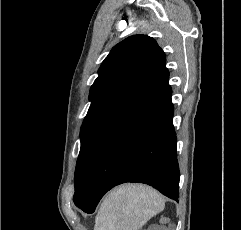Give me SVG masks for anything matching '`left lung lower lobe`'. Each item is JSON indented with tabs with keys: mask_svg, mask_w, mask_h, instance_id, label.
Masks as SVG:
<instances>
[{
	"mask_svg": "<svg viewBox=\"0 0 241 230\" xmlns=\"http://www.w3.org/2000/svg\"><path fill=\"white\" fill-rule=\"evenodd\" d=\"M172 90L167 85L91 162L76 206L93 213L101 197L114 186L142 182L172 198L179 197L180 172L172 118Z\"/></svg>",
	"mask_w": 241,
	"mask_h": 230,
	"instance_id": "1",
	"label": "left lung lower lobe"
}]
</instances>
